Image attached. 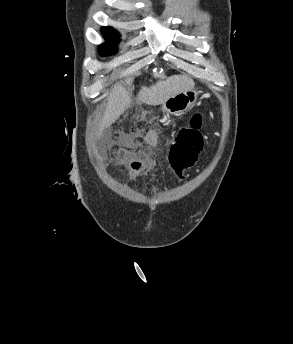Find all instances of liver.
<instances>
[{
	"label": "liver",
	"instance_id": "6515ba94",
	"mask_svg": "<svg viewBox=\"0 0 293 344\" xmlns=\"http://www.w3.org/2000/svg\"><path fill=\"white\" fill-rule=\"evenodd\" d=\"M130 81L129 79L128 82ZM194 86V81L189 77L174 75L166 80L158 81L149 88L142 87L137 95V100L148 105H160L172 96L192 90ZM130 105L131 98L127 90L121 84L114 85L108 96V103L102 118L101 127L107 128L113 124L126 109L130 108Z\"/></svg>",
	"mask_w": 293,
	"mask_h": 344
}]
</instances>
